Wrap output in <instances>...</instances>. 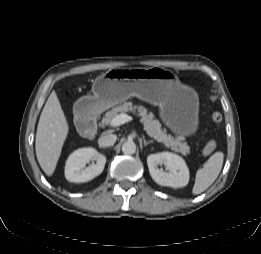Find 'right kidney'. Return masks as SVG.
Wrapping results in <instances>:
<instances>
[{
  "label": "right kidney",
  "mask_w": 261,
  "mask_h": 254,
  "mask_svg": "<svg viewBox=\"0 0 261 254\" xmlns=\"http://www.w3.org/2000/svg\"><path fill=\"white\" fill-rule=\"evenodd\" d=\"M90 159H95L96 164L85 168ZM106 157L94 148H80L70 154L65 165V178L69 182H87L100 175L105 167Z\"/></svg>",
  "instance_id": "right-kidney-1"
}]
</instances>
